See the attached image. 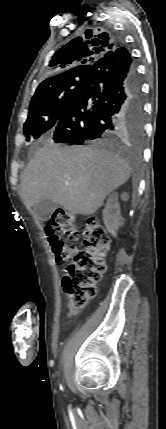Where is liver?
Instances as JSON below:
<instances>
[{
	"instance_id": "liver-1",
	"label": "liver",
	"mask_w": 166,
	"mask_h": 429,
	"mask_svg": "<svg viewBox=\"0 0 166 429\" xmlns=\"http://www.w3.org/2000/svg\"><path fill=\"white\" fill-rule=\"evenodd\" d=\"M130 166L120 156L95 147L40 148L22 173L21 192L30 209L51 199L74 214H94L106 196L130 177Z\"/></svg>"
}]
</instances>
